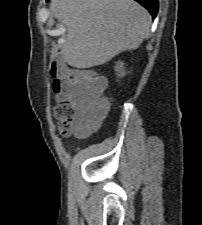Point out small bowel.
Returning <instances> with one entry per match:
<instances>
[{
    "instance_id": "obj_1",
    "label": "small bowel",
    "mask_w": 202,
    "mask_h": 225,
    "mask_svg": "<svg viewBox=\"0 0 202 225\" xmlns=\"http://www.w3.org/2000/svg\"><path fill=\"white\" fill-rule=\"evenodd\" d=\"M76 105H77L76 121L91 122L92 120L91 115L88 113L81 99L76 101Z\"/></svg>"
}]
</instances>
